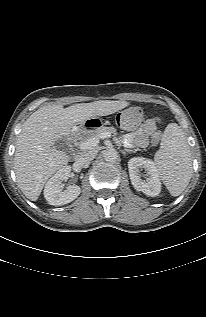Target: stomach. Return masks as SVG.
Returning a JSON list of instances; mask_svg holds the SVG:
<instances>
[{
    "label": "stomach",
    "mask_w": 206,
    "mask_h": 317,
    "mask_svg": "<svg viewBox=\"0 0 206 317\" xmlns=\"http://www.w3.org/2000/svg\"><path fill=\"white\" fill-rule=\"evenodd\" d=\"M114 117V115L109 114L89 115L78 123V132L81 134L82 131L88 132L98 127H115Z\"/></svg>",
    "instance_id": "stomach-1"
}]
</instances>
